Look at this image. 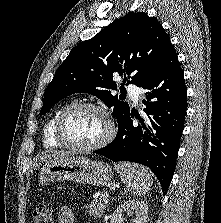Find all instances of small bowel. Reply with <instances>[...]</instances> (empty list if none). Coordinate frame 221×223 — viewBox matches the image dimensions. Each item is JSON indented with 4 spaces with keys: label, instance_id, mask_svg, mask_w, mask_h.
<instances>
[{
    "label": "small bowel",
    "instance_id": "c3829d8e",
    "mask_svg": "<svg viewBox=\"0 0 221 223\" xmlns=\"http://www.w3.org/2000/svg\"><path fill=\"white\" fill-rule=\"evenodd\" d=\"M58 223H75V217L68 206H62L58 212Z\"/></svg>",
    "mask_w": 221,
    "mask_h": 223
}]
</instances>
